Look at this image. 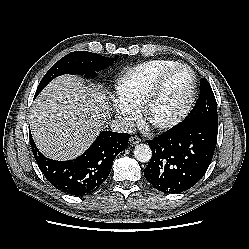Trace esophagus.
Masks as SVG:
<instances>
[{"label": "esophagus", "mask_w": 249, "mask_h": 249, "mask_svg": "<svg viewBox=\"0 0 249 249\" xmlns=\"http://www.w3.org/2000/svg\"><path fill=\"white\" fill-rule=\"evenodd\" d=\"M141 141V139L138 136H131L130 137V143L131 144H138Z\"/></svg>", "instance_id": "obj_1"}]
</instances>
